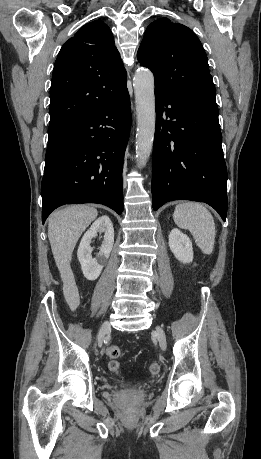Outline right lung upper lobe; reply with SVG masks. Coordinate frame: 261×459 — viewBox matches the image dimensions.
I'll use <instances>...</instances> for the list:
<instances>
[{
    "label": "right lung upper lobe",
    "instance_id": "right-lung-upper-lobe-1",
    "mask_svg": "<svg viewBox=\"0 0 261 459\" xmlns=\"http://www.w3.org/2000/svg\"><path fill=\"white\" fill-rule=\"evenodd\" d=\"M125 89L126 71L110 28L100 20L86 24L55 61L49 126L75 124Z\"/></svg>",
    "mask_w": 261,
    "mask_h": 459
}]
</instances>
